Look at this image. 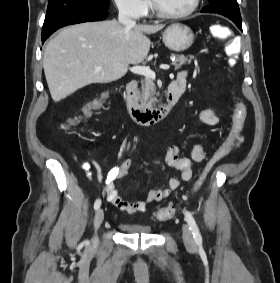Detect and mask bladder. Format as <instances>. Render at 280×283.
<instances>
[{
	"label": "bladder",
	"instance_id": "31cf9c89",
	"mask_svg": "<svg viewBox=\"0 0 280 283\" xmlns=\"http://www.w3.org/2000/svg\"><path fill=\"white\" fill-rule=\"evenodd\" d=\"M119 229L125 234H136V235H150L152 234V227L133 224V223H119Z\"/></svg>",
	"mask_w": 280,
	"mask_h": 283
}]
</instances>
